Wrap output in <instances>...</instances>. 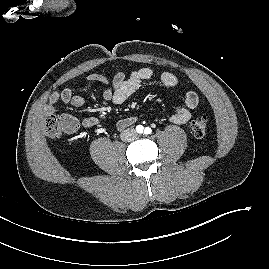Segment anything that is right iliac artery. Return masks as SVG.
<instances>
[{"label":"right iliac artery","instance_id":"82829eb1","mask_svg":"<svg viewBox=\"0 0 269 269\" xmlns=\"http://www.w3.org/2000/svg\"><path fill=\"white\" fill-rule=\"evenodd\" d=\"M143 126L142 125H138L137 127H136V131L138 132V133H142L143 132Z\"/></svg>","mask_w":269,"mask_h":269}]
</instances>
